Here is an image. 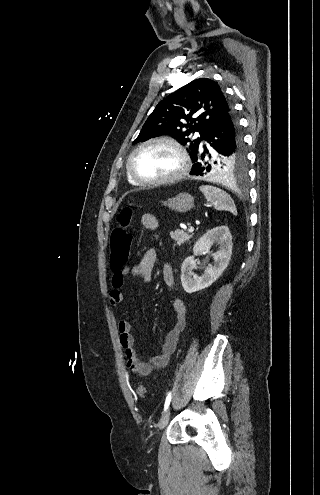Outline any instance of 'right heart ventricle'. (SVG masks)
<instances>
[{
	"label": "right heart ventricle",
	"mask_w": 320,
	"mask_h": 495,
	"mask_svg": "<svg viewBox=\"0 0 320 495\" xmlns=\"http://www.w3.org/2000/svg\"><path fill=\"white\" fill-rule=\"evenodd\" d=\"M128 180H129V182H130L131 184H134V185L136 184V183H134V182L131 180V178H130L129 176H128Z\"/></svg>",
	"instance_id": "right-heart-ventricle-1"
}]
</instances>
